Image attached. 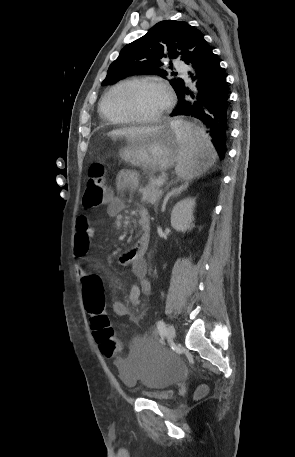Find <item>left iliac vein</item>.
Instances as JSON below:
<instances>
[{"label":"left iliac vein","mask_w":295,"mask_h":457,"mask_svg":"<svg viewBox=\"0 0 295 457\" xmlns=\"http://www.w3.org/2000/svg\"><path fill=\"white\" fill-rule=\"evenodd\" d=\"M167 337L170 341H173L174 338H175V328L172 324H170L168 327H167Z\"/></svg>","instance_id":"obj_1"}]
</instances>
